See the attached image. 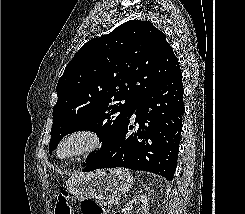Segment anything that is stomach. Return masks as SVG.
Masks as SVG:
<instances>
[{"label": "stomach", "instance_id": "1", "mask_svg": "<svg viewBox=\"0 0 245 214\" xmlns=\"http://www.w3.org/2000/svg\"><path fill=\"white\" fill-rule=\"evenodd\" d=\"M132 184L133 177L126 169H100L73 175L67 181V189L78 200H113L127 192Z\"/></svg>", "mask_w": 245, "mask_h": 214}]
</instances>
